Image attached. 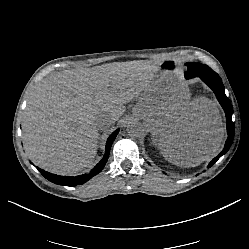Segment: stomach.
<instances>
[{
	"label": "stomach",
	"mask_w": 249,
	"mask_h": 249,
	"mask_svg": "<svg viewBox=\"0 0 249 249\" xmlns=\"http://www.w3.org/2000/svg\"><path fill=\"white\" fill-rule=\"evenodd\" d=\"M191 108L190 93L174 59L160 63L155 81L149 83L141 97L145 125L154 131L169 128L185 117Z\"/></svg>",
	"instance_id": "1"
}]
</instances>
